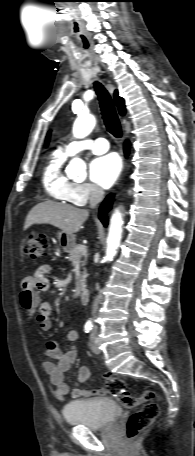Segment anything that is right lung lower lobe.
<instances>
[{
	"label": "right lung lower lobe",
	"mask_w": 195,
	"mask_h": 456,
	"mask_svg": "<svg viewBox=\"0 0 195 456\" xmlns=\"http://www.w3.org/2000/svg\"><path fill=\"white\" fill-rule=\"evenodd\" d=\"M124 150H125V154H128V150H129V143L128 142H126V144L124 146ZM112 199H113V195H109L105 199L104 203L100 207L99 219L104 224V226H107V224H108V218L106 217V213L111 208Z\"/></svg>",
	"instance_id": "98d812e1"
}]
</instances>
